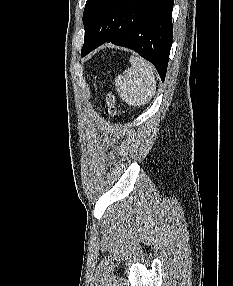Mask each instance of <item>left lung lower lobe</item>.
I'll use <instances>...</instances> for the list:
<instances>
[{
    "label": "left lung lower lobe",
    "instance_id": "obj_1",
    "mask_svg": "<svg viewBox=\"0 0 233 286\" xmlns=\"http://www.w3.org/2000/svg\"><path fill=\"white\" fill-rule=\"evenodd\" d=\"M174 0H95L84 25L81 56L111 42L154 64L164 81L173 41Z\"/></svg>",
    "mask_w": 233,
    "mask_h": 286
}]
</instances>
